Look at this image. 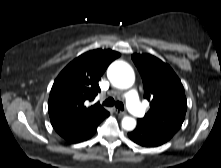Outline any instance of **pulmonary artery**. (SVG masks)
<instances>
[{
  "label": "pulmonary artery",
  "instance_id": "obj_1",
  "mask_svg": "<svg viewBox=\"0 0 221 168\" xmlns=\"http://www.w3.org/2000/svg\"><path fill=\"white\" fill-rule=\"evenodd\" d=\"M126 104L130 112L137 117H142L145 114V109L139 102L136 90L132 89L125 93Z\"/></svg>",
  "mask_w": 221,
  "mask_h": 168
}]
</instances>
